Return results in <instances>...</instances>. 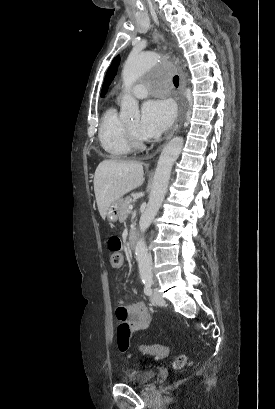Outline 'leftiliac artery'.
<instances>
[{
  "label": "left iliac artery",
  "instance_id": "obj_1",
  "mask_svg": "<svg viewBox=\"0 0 275 409\" xmlns=\"http://www.w3.org/2000/svg\"><path fill=\"white\" fill-rule=\"evenodd\" d=\"M143 283H144V285H145V287H144V293L146 294V295H151L152 294V285H153V279H152V276H148V277H146V278H143Z\"/></svg>",
  "mask_w": 275,
  "mask_h": 409
}]
</instances>
